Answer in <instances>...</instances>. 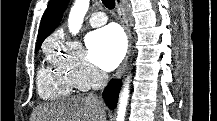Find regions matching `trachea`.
Instances as JSON below:
<instances>
[{
	"label": "trachea",
	"instance_id": "obj_1",
	"mask_svg": "<svg viewBox=\"0 0 217 121\" xmlns=\"http://www.w3.org/2000/svg\"><path fill=\"white\" fill-rule=\"evenodd\" d=\"M102 3L110 10L115 8V0H102Z\"/></svg>",
	"mask_w": 217,
	"mask_h": 121
}]
</instances>
